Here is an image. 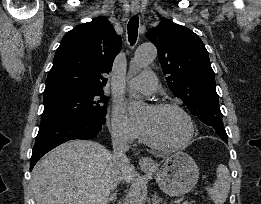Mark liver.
Wrapping results in <instances>:
<instances>
[{
  "label": "liver",
  "mask_w": 261,
  "mask_h": 204,
  "mask_svg": "<svg viewBox=\"0 0 261 204\" xmlns=\"http://www.w3.org/2000/svg\"><path fill=\"white\" fill-rule=\"evenodd\" d=\"M113 155L90 140L68 141L45 155L32 171L36 204H107L111 190ZM121 180L130 182L129 163Z\"/></svg>",
  "instance_id": "1"
}]
</instances>
